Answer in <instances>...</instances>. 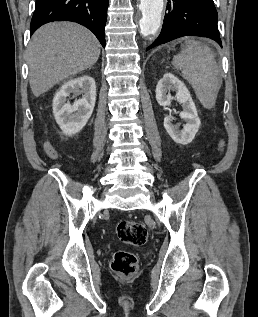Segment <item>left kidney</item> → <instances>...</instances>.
Segmentation results:
<instances>
[{"mask_svg":"<svg viewBox=\"0 0 258 317\" xmlns=\"http://www.w3.org/2000/svg\"><path fill=\"white\" fill-rule=\"evenodd\" d=\"M168 90H176L175 96H171ZM155 92L157 102H159L161 106H169L172 98H176V100H179L180 104H182L183 110H181L179 116L184 118L186 122V124H183L182 130H179L177 124H172L171 118H173V116H165L164 126L171 138H173L175 142H178V144H188V142H192L196 132L199 130L201 120L187 86H185L184 82L179 80L175 74H172V72H165L162 78L158 80Z\"/></svg>","mask_w":258,"mask_h":317,"instance_id":"5707ae66","label":"left kidney"}]
</instances>
